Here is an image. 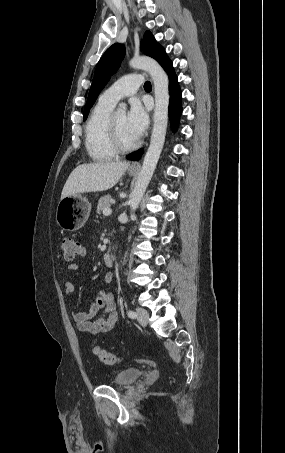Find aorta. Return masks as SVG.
<instances>
[{
	"label": "aorta",
	"mask_w": 285,
	"mask_h": 453,
	"mask_svg": "<svg viewBox=\"0 0 285 453\" xmlns=\"http://www.w3.org/2000/svg\"><path fill=\"white\" fill-rule=\"evenodd\" d=\"M129 65L132 68L147 71L153 79L155 91L154 127L152 130L150 146L144 157L141 171L129 200V205L133 214L152 178L164 145L168 123L169 81L165 71L157 61L152 58L134 57L130 60ZM119 108L120 111H125L126 104L120 103Z\"/></svg>",
	"instance_id": "1"
}]
</instances>
